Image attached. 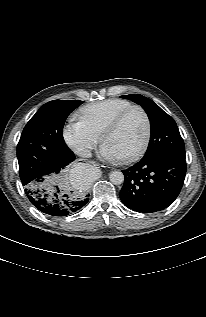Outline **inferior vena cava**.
<instances>
[{
    "label": "inferior vena cava",
    "instance_id": "obj_1",
    "mask_svg": "<svg viewBox=\"0 0 206 317\" xmlns=\"http://www.w3.org/2000/svg\"><path fill=\"white\" fill-rule=\"evenodd\" d=\"M75 153L83 158H89L92 156L91 151L85 147H78L75 149Z\"/></svg>",
    "mask_w": 206,
    "mask_h": 317
}]
</instances>
